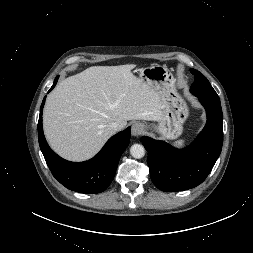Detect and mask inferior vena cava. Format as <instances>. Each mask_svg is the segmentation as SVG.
<instances>
[{
    "mask_svg": "<svg viewBox=\"0 0 253 253\" xmlns=\"http://www.w3.org/2000/svg\"><path fill=\"white\" fill-rule=\"evenodd\" d=\"M108 127H109L113 132H116V131L119 130L120 125H119V123H117V122H111V123H109Z\"/></svg>",
    "mask_w": 253,
    "mask_h": 253,
    "instance_id": "inferior-vena-cava-1",
    "label": "inferior vena cava"
}]
</instances>
